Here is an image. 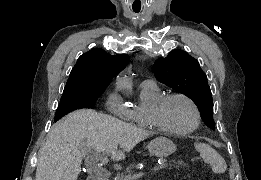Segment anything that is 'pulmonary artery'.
<instances>
[{"label":"pulmonary artery","instance_id":"1","mask_svg":"<svg viewBox=\"0 0 261 180\" xmlns=\"http://www.w3.org/2000/svg\"><path fill=\"white\" fill-rule=\"evenodd\" d=\"M152 84H154V82L151 80H143L141 83V85H152Z\"/></svg>","mask_w":261,"mask_h":180}]
</instances>
